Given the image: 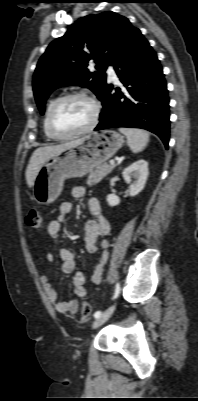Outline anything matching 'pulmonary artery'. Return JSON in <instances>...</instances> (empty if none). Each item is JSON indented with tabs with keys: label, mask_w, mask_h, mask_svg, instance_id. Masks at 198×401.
I'll use <instances>...</instances> for the list:
<instances>
[{
	"label": "pulmonary artery",
	"mask_w": 198,
	"mask_h": 401,
	"mask_svg": "<svg viewBox=\"0 0 198 401\" xmlns=\"http://www.w3.org/2000/svg\"><path fill=\"white\" fill-rule=\"evenodd\" d=\"M107 74H108L109 79L117 81V75H116L113 67H109L108 68Z\"/></svg>",
	"instance_id": "1"
}]
</instances>
